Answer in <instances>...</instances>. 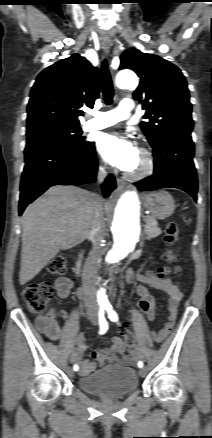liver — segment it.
<instances>
[{
	"mask_svg": "<svg viewBox=\"0 0 212 438\" xmlns=\"http://www.w3.org/2000/svg\"><path fill=\"white\" fill-rule=\"evenodd\" d=\"M95 206V194L76 186L57 185L25 209L21 285L32 280L61 250L86 239Z\"/></svg>",
	"mask_w": 212,
	"mask_h": 438,
	"instance_id": "liver-1",
	"label": "liver"
}]
</instances>
